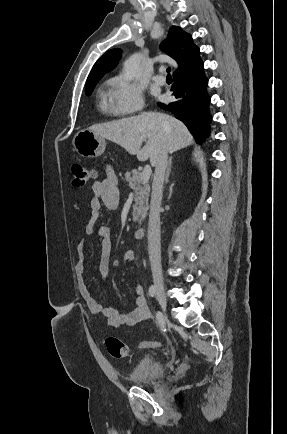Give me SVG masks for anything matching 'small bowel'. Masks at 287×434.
<instances>
[{
  "mask_svg": "<svg viewBox=\"0 0 287 434\" xmlns=\"http://www.w3.org/2000/svg\"><path fill=\"white\" fill-rule=\"evenodd\" d=\"M93 196L90 199L91 216L85 226L84 237L77 245L78 263L76 265V285L80 295L85 300L88 309L94 314L106 317V324L112 328L121 325L133 327L136 324L147 320L150 316L143 287L139 281L135 284V308L132 312L123 314L119 310L102 304L91 293L86 283V257L84 245L86 239L91 235H97L101 239V258L99 273L102 281H105L110 267L112 230L107 225L97 223V219L104 209L114 210L119 203L118 178L111 167L106 168L105 177L92 185ZM123 259L127 263L135 261V253L126 250Z\"/></svg>",
  "mask_w": 287,
  "mask_h": 434,
  "instance_id": "small-bowel-1",
  "label": "small bowel"
}]
</instances>
